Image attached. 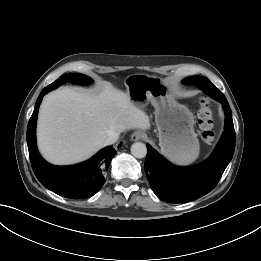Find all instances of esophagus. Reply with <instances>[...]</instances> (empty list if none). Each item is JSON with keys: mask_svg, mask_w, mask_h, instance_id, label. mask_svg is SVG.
Segmentation results:
<instances>
[{"mask_svg": "<svg viewBox=\"0 0 261 261\" xmlns=\"http://www.w3.org/2000/svg\"><path fill=\"white\" fill-rule=\"evenodd\" d=\"M144 138V133L142 131H135L132 135H131V140L132 141H139L141 139Z\"/></svg>", "mask_w": 261, "mask_h": 261, "instance_id": "obj_1", "label": "esophagus"}]
</instances>
